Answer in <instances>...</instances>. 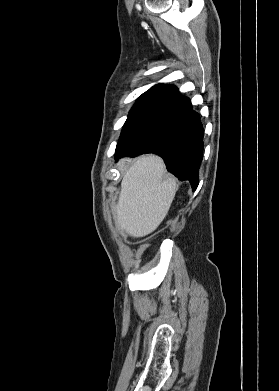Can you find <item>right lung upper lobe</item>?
Here are the masks:
<instances>
[{"label":"right lung upper lobe","instance_id":"obj_1","mask_svg":"<svg viewBox=\"0 0 279 391\" xmlns=\"http://www.w3.org/2000/svg\"><path fill=\"white\" fill-rule=\"evenodd\" d=\"M182 97L175 86L157 84L143 93L132 109L155 108L162 110Z\"/></svg>","mask_w":279,"mask_h":391}]
</instances>
